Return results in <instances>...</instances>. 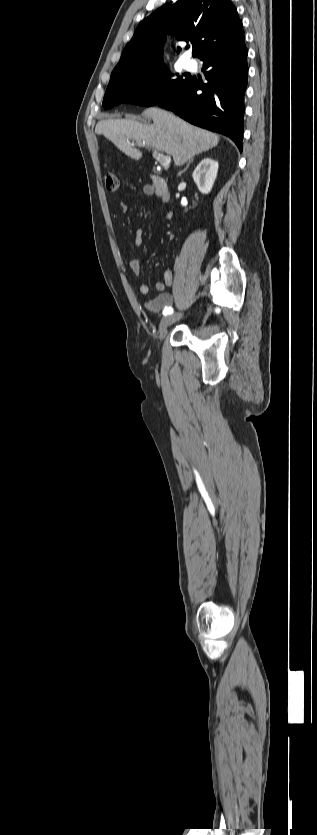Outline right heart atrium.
<instances>
[{"mask_svg":"<svg viewBox=\"0 0 317 835\" xmlns=\"http://www.w3.org/2000/svg\"><path fill=\"white\" fill-rule=\"evenodd\" d=\"M164 82V77L157 75L147 81L146 88L151 93H158L162 90Z\"/></svg>","mask_w":317,"mask_h":835,"instance_id":"right-heart-atrium-1","label":"right heart atrium"}]
</instances>
